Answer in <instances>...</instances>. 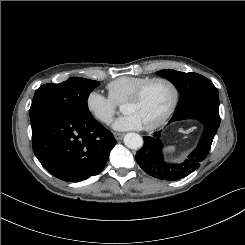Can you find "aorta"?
Listing matches in <instances>:
<instances>
[{"instance_id":"762f6f07","label":"aorta","mask_w":245,"mask_h":245,"mask_svg":"<svg viewBox=\"0 0 245 245\" xmlns=\"http://www.w3.org/2000/svg\"><path fill=\"white\" fill-rule=\"evenodd\" d=\"M124 144L130 149H139L143 145V138L137 133H127L124 136Z\"/></svg>"}]
</instances>
